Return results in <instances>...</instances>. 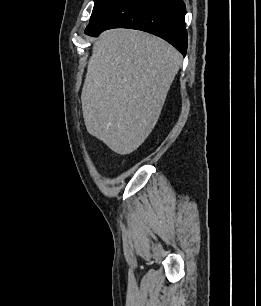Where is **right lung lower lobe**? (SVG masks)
I'll return each instance as SVG.
<instances>
[{
    "mask_svg": "<svg viewBox=\"0 0 261 306\" xmlns=\"http://www.w3.org/2000/svg\"><path fill=\"white\" fill-rule=\"evenodd\" d=\"M185 13L182 0H112L89 23L85 33L96 36L111 28L142 30L165 39L185 55Z\"/></svg>",
    "mask_w": 261,
    "mask_h": 306,
    "instance_id": "1",
    "label": "right lung lower lobe"
}]
</instances>
